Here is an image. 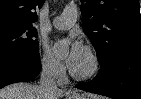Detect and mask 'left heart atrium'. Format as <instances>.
Masks as SVG:
<instances>
[{
	"label": "left heart atrium",
	"instance_id": "39dd6f15",
	"mask_svg": "<svg viewBox=\"0 0 141 99\" xmlns=\"http://www.w3.org/2000/svg\"><path fill=\"white\" fill-rule=\"evenodd\" d=\"M85 49L80 41L75 38H71L69 42V48L66 55V63L70 68H74L82 57Z\"/></svg>",
	"mask_w": 141,
	"mask_h": 99
}]
</instances>
